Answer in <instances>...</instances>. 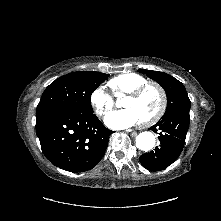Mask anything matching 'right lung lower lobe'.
I'll use <instances>...</instances> for the list:
<instances>
[{
	"label": "right lung lower lobe",
	"instance_id": "98d812e1",
	"mask_svg": "<svg viewBox=\"0 0 221 221\" xmlns=\"http://www.w3.org/2000/svg\"><path fill=\"white\" fill-rule=\"evenodd\" d=\"M36 134L52 164L66 171L84 172L101 160L112 131L95 114L63 111L36 120Z\"/></svg>",
	"mask_w": 221,
	"mask_h": 221
}]
</instances>
